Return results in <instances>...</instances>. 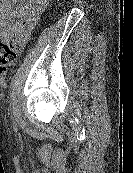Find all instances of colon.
<instances>
[{
    "label": "colon",
    "mask_w": 133,
    "mask_h": 173,
    "mask_svg": "<svg viewBox=\"0 0 133 173\" xmlns=\"http://www.w3.org/2000/svg\"><path fill=\"white\" fill-rule=\"evenodd\" d=\"M17 47L14 43H6L0 40V72H5L16 61Z\"/></svg>",
    "instance_id": "1"
}]
</instances>
